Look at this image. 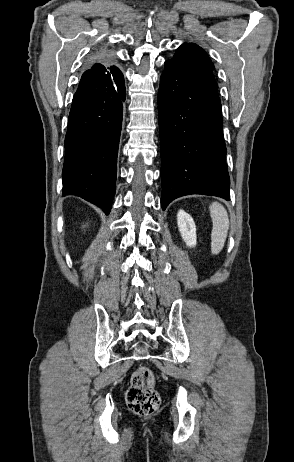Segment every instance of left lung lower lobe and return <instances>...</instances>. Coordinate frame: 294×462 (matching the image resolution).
I'll return each instance as SVG.
<instances>
[{"mask_svg":"<svg viewBox=\"0 0 294 462\" xmlns=\"http://www.w3.org/2000/svg\"><path fill=\"white\" fill-rule=\"evenodd\" d=\"M162 209L188 194L230 199L221 101L212 71L165 61L158 92Z\"/></svg>","mask_w":294,"mask_h":462,"instance_id":"left-lung-lower-lobe-1","label":"left lung lower lobe"}]
</instances>
